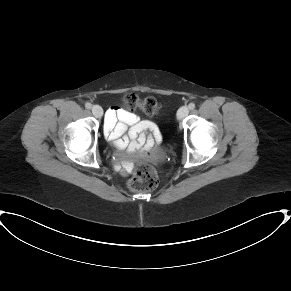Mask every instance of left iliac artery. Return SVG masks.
<instances>
[{
    "instance_id": "obj_1",
    "label": "left iliac artery",
    "mask_w": 291,
    "mask_h": 291,
    "mask_svg": "<svg viewBox=\"0 0 291 291\" xmlns=\"http://www.w3.org/2000/svg\"><path fill=\"white\" fill-rule=\"evenodd\" d=\"M190 110H193L195 108V104L193 102L189 103L188 105Z\"/></svg>"
}]
</instances>
